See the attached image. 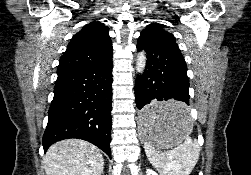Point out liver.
<instances>
[{
  "label": "liver",
  "instance_id": "obj_1",
  "mask_svg": "<svg viewBox=\"0 0 251 175\" xmlns=\"http://www.w3.org/2000/svg\"><path fill=\"white\" fill-rule=\"evenodd\" d=\"M101 149L83 139H63L44 155L46 175H101L104 159Z\"/></svg>",
  "mask_w": 251,
  "mask_h": 175
}]
</instances>
